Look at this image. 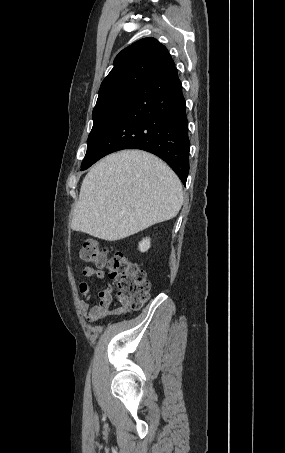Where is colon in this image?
Listing matches in <instances>:
<instances>
[{"label":"colon","mask_w":285,"mask_h":453,"mask_svg":"<svg viewBox=\"0 0 285 453\" xmlns=\"http://www.w3.org/2000/svg\"><path fill=\"white\" fill-rule=\"evenodd\" d=\"M80 258L108 269L117 286V300L125 307L137 310L148 300L150 283L145 271L122 252H110L97 239L88 238L80 250Z\"/></svg>","instance_id":"obj_1"}]
</instances>
